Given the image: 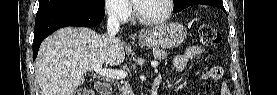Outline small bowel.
<instances>
[{
  "label": "small bowel",
  "mask_w": 277,
  "mask_h": 95,
  "mask_svg": "<svg viewBox=\"0 0 277 95\" xmlns=\"http://www.w3.org/2000/svg\"><path fill=\"white\" fill-rule=\"evenodd\" d=\"M204 54H205V51L202 48L198 46H191L187 48L183 53H181L180 55L174 58L173 68L178 72L183 71L186 68L189 61ZM222 74H223L222 68L219 66H215L209 69V72L205 76V78L220 79L222 77ZM156 79H160V78H156ZM220 88H221L222 95L230 94L227 88V85L223 81L220 82Z\"/></svg>",
  "instance_id": "obj_1"
}]
</instances>
